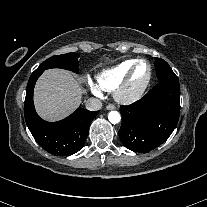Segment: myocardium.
I'll return each instance as SVG.
<instances>
[{
	"label": "myocardium",
	"instance_id": "myocardium-1",
	"mask_svg": "<svg viewBox=\"0 0 207 207\" xmlns=\"http://www.w3.org/2000/svg\"><path fill=\"white\" fill-rule=\"evenodd\" d=\"M140 63H144L147 66L148 68L147 76L139 86L133 87L132 86L133 74L136 66ZM151 78H152V67L150 63L144 59L135 60L134 63L129 68L124 79L115 88V92H114L115 100L121 104H130L135 102L143 95V93L145 92V90L150 84Z\"/></svg>",
	"mask_w": 207,
	"mask_h": 207
}]
</instances>
